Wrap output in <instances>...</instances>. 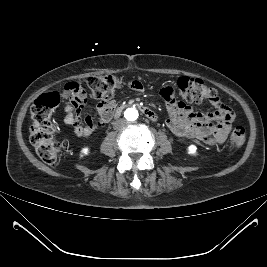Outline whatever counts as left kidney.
Masks as SVG:
<instances>
[{
  "label": "left kidney",
  "mask_w": 267,
  "mask_h": 267,
  "mask_svg": "<svg viewBox=\"0 0 267 267\" xmlns=\"http://www.w3.org/2000/svg\"><path fill=\"white\" fill-rule=\"evenodd\" d=\"M196 150H197V148H196L195 145H190L188 147V154H190V155H196Z\"/></svg>",
  "instance_id": "5707ae66"
}]
</instances>
